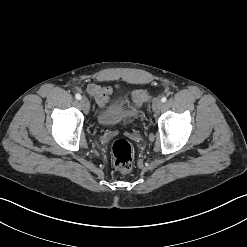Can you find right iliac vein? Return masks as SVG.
Here are the masks:
<instances>
[{
  "label": "right iliac vein",
  "instance_id": "obj_1",
  "mask_svg": "<svg viewBox=\"0 0 247 247\" xmlns=\"http://www.w3.org/2000/svg\"><path fill=\"white\" fill-rule=\"evenodd\" d=\"M80 103L85 110L90 108V103L86 97L81 98Z\"/></svg>",
  "mask_w": 247,
  "mask_h": 247
}]
</instances>
